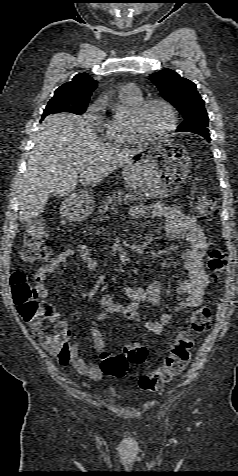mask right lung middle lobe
Wrapping results in <instances>:
<instances>
[{
  "instance_id": "dd1d6c3e",
  "label": "right lung middle lobe",
  "mask_w": 238,
  "mask_h": 476,
  "mask_svg": "<svg viewBox=\"0 0 238 476\" xmlns=\"http://www.w3.org/2000/svg\"><path fill=\"white\" fill-rule=\"evenodd\" d=\"M87 105L74 104L72 99L65 96H54L47 104L42 118L58 112H69L74 114H82L85 112Z\"/></svg>"
}]
</instances>
